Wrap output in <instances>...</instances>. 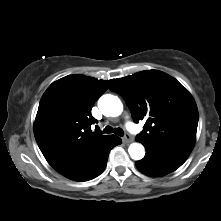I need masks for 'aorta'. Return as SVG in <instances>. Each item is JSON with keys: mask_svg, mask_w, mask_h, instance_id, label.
Segmentation results:
<instances>
[{"mask_svg": "<svg viewBox=\"0 0 221 221\" xmlns=\"http://www.w3.org/2000/svg\"><path fill=\"white\" fill-rule=\"evenodd\" d=\"M98 107L100 111L108 117L119 116L123 111L121 100L111 94L101 96L98 101ZM128 152L134 160H141L145 155V149L140 143H132L128 148Z\"/></svg>", "mask_w": 221, "mask_h": 221, "instance_id": "aorta-1", "label": "aorta"}]
</instances>
